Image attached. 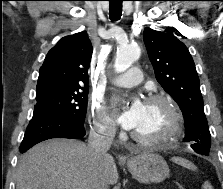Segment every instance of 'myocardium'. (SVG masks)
Returning a JSON list of instances; mask_svg holds the SVG:
<instances>
[{
  "label": "myocardium",
  "mask_w": 223,
  "mask_h": 189,
  "mask_svg": "<svg viewBox=\"0 0 223 189\" xmlns=\"http://www.w3.org/2000/svg\"><path fill=\"white\" fill-rule=\"evenodd\" d=\"M146 103H161L169 113V122L167 126L160 132L153 135H143L137 132H132L131 137L141 143L153 144L178 135L182 129L183 116L182 112L172 97L164 93H155L149 95Z\"/></svg>",
  "instance_id": "f54148a6"
}]
</instances>
